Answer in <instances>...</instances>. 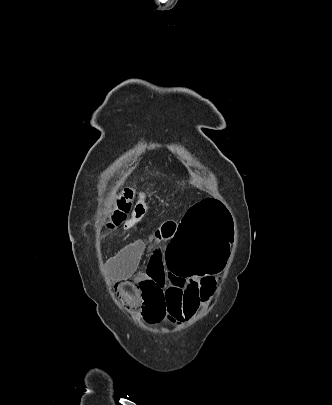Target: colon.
<instances>
[{
  "instance_id": "obj_1",
  "label": "colon",
  "mask_w": 332,
  "mask_h": 405,
  "mask_svg": "<svg viewBox=\"0 0 332 405\" xmlns=\"http://www.w3.org/2000/svg\"><path fill=\"white\" fill-rule=\"evenodd\" d=\"M132 190L125 189L112 216V226L124 223L130 214ZM218 197H201L200 202H191L184 211V220H175L174 240L166 248L167 268L172 275H217L228 268L227 257H232L233 228L231 211ZM136 217L131 216V220ZM119 295L131 308H142L137 285L123 281L118 285ZM140 320V315H139ZM141 321V320H140Z\"/></svg>"
}]
</instances>
